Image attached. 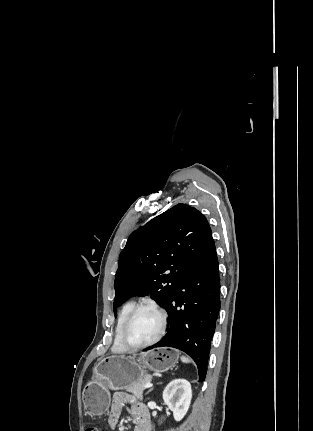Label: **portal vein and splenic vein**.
<instances>
[{
    "label": "portal vein and splenic vein",
    "instance_id": "1",
    "mask_svg": "<svg viewBox=\"0 0 313 431\" xmlns=\"http://www.w3.org/2000/svg\"><path fill=\"white\" fill-rule=\"evenodd\" d=\"M142 386L145 388H149V387H152L153 385L150 382H146Z\"/></svg>",
    "mask_w": 313,
    "mask_h": 431
}]
</instances>
